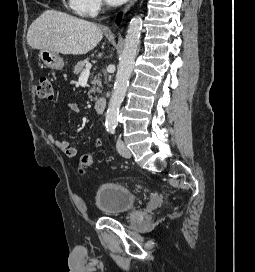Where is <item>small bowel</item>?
<instances>
[{"instance_id":"obj_1","label":"small bowel","mask_w":255,"mask_h":272,"mask_svg":"<svg viewBox=\"0 0 255 272\" xmlns=\"http://www.w3.org/2000/svg\"><path fill=\"white\" fill-rule=\"evenodd\" d=\"M69 107H70V110L73 113H75V114L80 113V108H79V106L77 104L71 103ZM48 140L50 141L51 144H53L58 149L63 151L67 157L74 158V157L77 156V154H78L77 148L75 146H72L68 141L58 139L53 134H50L48 136ZM101 144H102L101 140L98 139V140L95 141V146L96 147L100 146Z\"/></svg>"}]
</instances>
